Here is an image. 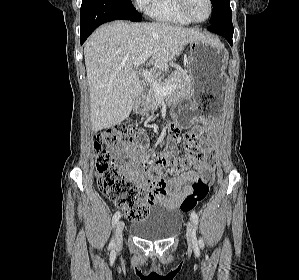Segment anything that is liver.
Masks as SVG:
<instances>
[{
    "label": "liver",
    "mask_w": 299,
    "mask_h": 280,
    "mask_svg": "<svg viewBox=\"0 0 299 280\" xmlns=\"http://www.w3.org/2000/svg\"><path fill=\"white\" fill-rule=\"evenodd\" d=\"M207 39L197 30L159 22L116 20L99 27L84 44L92 131L113 127L129 117L142 93L134 67L141 55L151 51L147 65L166 71L168 62L189 42Z\"/></svg>",
    "instance_id": "liver-1"
}]
</instances>
